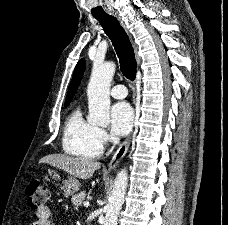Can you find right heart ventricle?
Masks as SVG:
<instances>
[{"instance_id":"1","label":"right heart ventricle","mask_w":228,"mask_h":225,"mask_svg":"<svg viewBox=\"0 0 228 225\" xmlns=\"http://www.w3.org/2000/svg\"><path fill=\"white\" fill-rule=\"evenodd\" d=\"M62 150L68 155L80 158H97L102 153L98 128L84 118L80 107L74 108L66 118Z\"/></svg>"}]
</instances>
